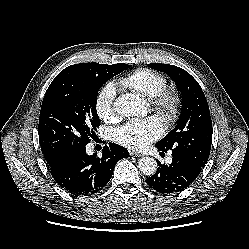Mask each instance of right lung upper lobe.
Masks as SVG:
<instances>
[{"label":"right lung upper lobe","instance_id":"obj_1","mask_svg":"<svg viewBox=\"0 0 249 249\" xmlns=\"http://www.w3.org/2000/svg\"><path fill=\"white\" fill-rule=\"evenodd\" d=\"M86 64H90V63H86ZM66 157H67L66 155H54V156H46L45 159L48 165L51 167V166H54L60 163Z\"/></svg>","mask_w":249,"mask_h":249}]
</instances>
